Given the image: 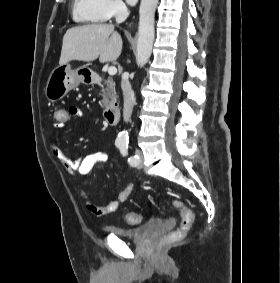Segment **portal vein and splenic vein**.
I'll return each instance as SVG.
<instances>
[{"mask_svg": "<svg viewBox=\"0 0 280 283\" xmlns=\"http://www.w3.org/2000/svg\"><path fill=\"white\" fill-rule=\"evenodd\" d=\"M116 73H117V69H116V67H114V66H111V67H109L108 68V74L109 75H116Z\"/></svg>", "mask_w": 280, "mask_h": 283, "instance_id": "18ae733b", "label": "portal vein and splenic vein"}]
</instances>
